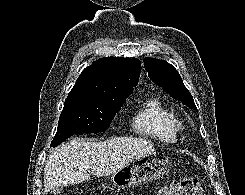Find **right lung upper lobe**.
I'll use <instances>...</instances> for the list:
<instances>
[{
  "label": "right lung upper lobe",
  "mask_w": 245,
  "mask_h": 195,
  "mask_svg": "<svg viewBox=\"0 0 245 195\" xmlns=\"http://www.w3.org/2000/svg\"><path fill=\"white\" fill-rule=\"evenodd\" d=\"M141 64L135 58L104 57L80 74L69 95L126 99L138 84Z\"/></svg>",
  "instance_id": "right-lung-upper-lobe-1"
}]
</instances>
